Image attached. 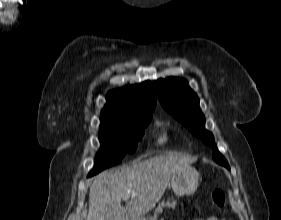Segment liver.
Masks as SVG:
<instances>
[{"instance_id": "obj_1", "label": "liver", "mask_w": 281, "mask_h": 220, "mask_svg": "<svg viewBox=\"0 0 281 220\" xmlns=\"http://www.w3.org/2000/svg\"><path fill=\"white\" fill-rule=\"evenodd\" d=\"M191 162L180 153H168L101 172L90 184L86 220H143L163 196L172 175ZM125 196L129 201L123 206Z\"/></svg>"}]
</instances>
